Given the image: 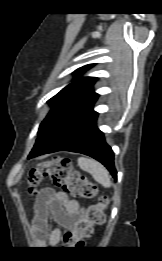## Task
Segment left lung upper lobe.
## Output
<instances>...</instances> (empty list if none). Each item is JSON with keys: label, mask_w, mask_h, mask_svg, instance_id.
<instances>
[{"label": "left lung upper lobe", "mask_w": 162, "mask_h": 261, "mask_svg": "<svg viewBox=\"0 0 162 261\" xmlns=\"http://www.w3.org/2000/svg\"><path fill=\"white\" fill-rule=\"evenodd\" d=\"M93 65L75 71L84 73ZM95 77H81L62 89L49 100L52 109L38 130V139L28 158L44 154L76 128L98 115L93 110L98 94L93 91Z\"/></svg>", "instance_id": "1"}]
</instances>
